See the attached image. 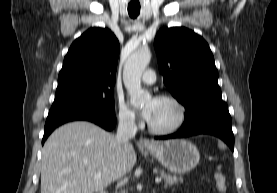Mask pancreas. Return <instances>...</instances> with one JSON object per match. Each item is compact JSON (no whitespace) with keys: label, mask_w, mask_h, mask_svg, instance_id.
Listing matches in <instances>:
<instances>
[{"label":"pancreas","mask_w":277,"mask_h":193,"mask_svg":"<svg viewBox=\"0 0 277 193\" xmlns=\"http://www.w3.org/2000/svg\"><path fill=\"white\" fill-rule=\"evenodd\" d=\"M160 176L164 179L165 186H172L173 184H177L179 181L182 182V177H178L176 175H170L164 171H160ZM120 193H127L125 190H121Z\"/></svg>","instance_id":"1"}]
</instances>
